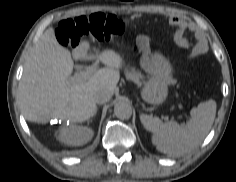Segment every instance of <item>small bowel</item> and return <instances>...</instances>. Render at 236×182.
Segmentation results:
<instances>
[{"label": "small bowel", "instance_id": "obj_1", "mask_svg": "<svg viewBox=\"0 0 236 182\" xmlns=\"http://www.w3.org/2000/svg\"><path fill=\"white\" fill-rule=\"evenodd\" d=\"M169 22H170L171 25L177 27V31H176V41H177V43L181 46L185 45L186 40L183 37V32L187 27L186 23L183 20H181L180 18L175 17V16L171 17L169 19ZM141 40L146 41L147 37L142 36ZM203 48L204 47H203L202 43L197 44L195 46V48L193 49V51L191 52V54L189 55V57L190 58H195V57L199 56L200 54L203 53V51H204Z\"/></svg>", "mask_w": 236, "mask_h": 182}]
</instances>
